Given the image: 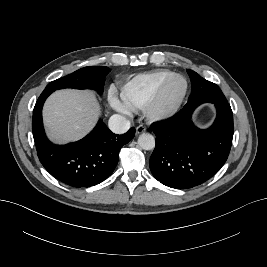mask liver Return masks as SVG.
I'll return each mask as SVG.
<instances>
[{
	"mask_svg": "<svg viewBox=\"0 0 267 267\" xmlns=\"http://www.w3.org/2000/svg\"><path fill=\"white\" fill-rule=\"evenodd\" d=\"M99 114L100 106L92 91L58 90L43 108L48 135L58 143L83 138L94 127Z\"/></svg>",
	"mask_w": 267,
	"mask_h": 267,
	"instance_id": "1",
	"label": "liver"
}]
</instances>
